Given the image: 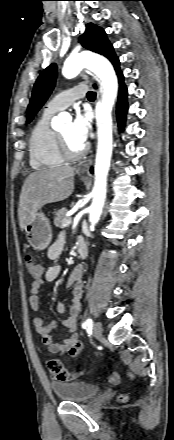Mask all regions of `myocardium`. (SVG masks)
Listing matches in <instances>:
<instances>
[{"label": "myocardium", "instance_id": "1", "mask_svg": "<svg viewBox=\"0 0 174 440\" xmlns=\"http://www.w3.org/2000/svg\"><path fill=\"white\" fill-rule=\"evenodd\" d=\"M57 137H58V145H59V150L62 154V156L64 157V159L67 160H77L79 158H81L87 151V146H83L79 151H73L66 139L64 138V136L60 133L57 132Z\"/></svg>", "mask_w": 174, "mask_h": 440}]
</instances>
